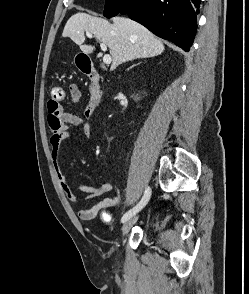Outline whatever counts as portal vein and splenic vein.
<instances>
[{
    "label": "portal vein and splenic vein",
    "mask_w": 249,
    "mask_h": 294,
    "mask_svg": "<svg viewBox=\"0 0 249 294\" xmlns=\"http://www.w3.org/2000/svg\"><path fill=\"white\" fill-rule=\"evenodd\" d=\"M86 35H87L88 37H92V34L89 33V32H87ZM100 47H101V49H102L103 51H107V46H106L105 43H101V44H100ZM111 61H112L111 56H110L109 54H105L104 57H103V62H104L105 64H110Z\"/></svg>",
    "instance_id": "obj_1"
}]
</instances>
